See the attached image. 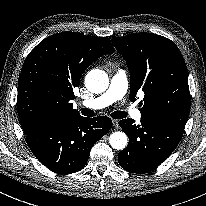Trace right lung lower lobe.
I'll return each mask as SVG.
<instances>
[{"label":"right lung lower lobe","instance_id":"obj_1","mask_svg":"<svg viewBox=\"0 0 206 206\" xmlns=\"http://www.w3.org/2000/svg\"><path fill=\"white\" fill-rule=\"evenodd\" d=\"M112 126L109 117H77L26 134V141L38 160L58 174H71L87 163L92 146Z\"/></svg>","mask_w":206,"mask_h":206}]
</instances>
